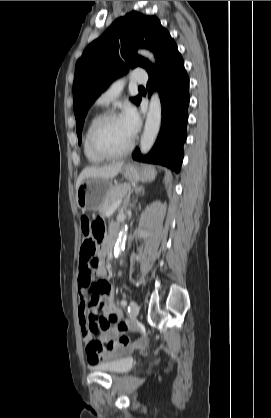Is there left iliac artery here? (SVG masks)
<instances>
[{
  "label": "left iliac artery",
  "mask_w": 271,
  "mask_h": 418,
  "mask_svg": "<svg viewBox=\"0 0 271 418\" xmlns=\"http://www.w3.org/2000/svg\"><path fill=\"white\" fill-rule=\"evenodd\" d=\"M121 305L125 307V306L127 305V301H126L125 299H123V300L121 301Z\"/></svg>",
  "instance_id": "44dca946"
}]
</instances>
